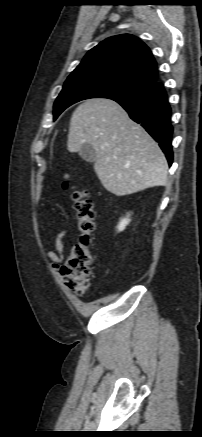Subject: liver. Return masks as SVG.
Masks as SVG:
<instances>
[{
	"label": "liver",
	"mask_w": 202,
	"mask_h": 437,
	"mask_svg": "<svg viewBox=\"0 0 202 437\" xmlns=\"http://www.w3.org/2000/svg\"><path fill=\"white\" fill-rule=\"evenodd\" d=\"M90 143L96 151L94 170L104 188L116 196L163 186L168 163L155 140L115 101L86 100L72 114L67 149Z\"/></svg>",
	"instance_id": "obj_1"
}]
</instances>
